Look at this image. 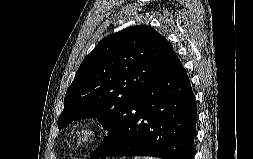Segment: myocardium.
Here are the masks:
<instances>
[{
    "instance_id": "myocardium-1",
    "label": "myocardium",
    "mask_w": 253,
    "mask_h": 159,
    "mask_svg": "<svg viewBox=\"0 0 253 159\" xmlns=\"http://www.w3.org/2000/svg\"><path fill=\"white\" fill-rule=\"evenodd\" d=\"M103 132L104 126L98 120L88 119L82 121L76 126L71 143L79 151L86 150L100 138Z\"/></svg>"
}]
</instances>
